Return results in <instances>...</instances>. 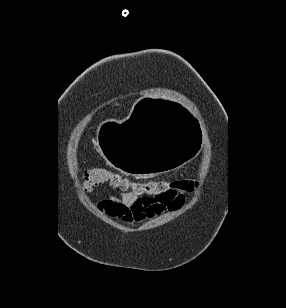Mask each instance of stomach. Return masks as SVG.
I'll return each instance as SVG.
<instances>
[{
	"label": "stomach",
	"instance_id": "stomach-1",
	"mask_svg": "<svg viewBox=\"0 0 286 308\" xmlns=\"http://www.w3.org/2000/svg\"><path fill=\"white\" fill-rule=\"evenodd\" d=\"M170 96H144L131 107L132 118L103 117L97 122V149L106 162L132 177L181 173L187 159L204 148L195 112Z\"/></svg>",
	"mask_w": 286,
	"mask_h": 308
}]
</instances>
